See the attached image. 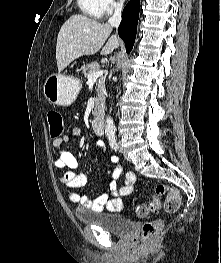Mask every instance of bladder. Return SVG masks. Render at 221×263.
Here are the masks:
<instances>
[{"mask_svg": "<svg viewBox=\"0 0 221 263\" xmlns=\"http://www.w3.org/2000/svg\"><path fill=\"white\" fill-rule=\"evenodd\" d=\"M77 218L82 224L95 225L117 237H126L136 227L135 221L119 214L79 215Z\"/></svg>", "mask_w": 221, "mask_h": 263, "instance_id": "bladder-1", "label": "bladder"}]
</instances>
